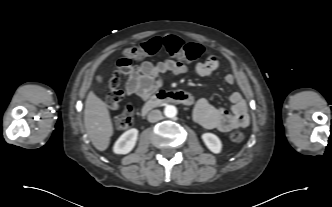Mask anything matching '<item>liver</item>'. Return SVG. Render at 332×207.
I'll return each mask as SVG.
<instances>
[{
  "instance_id": "obj_1",
  "label": "liver",
  "mask_w": 332,
  "mask_h": 207,
  "mask_svg": "<svg viewBox=\"0 0 332 207\" xmlns=\"http://www.w3.org/2000/svg\"><path fill=\"white\" fill-rule=\"evenodd\" d=\"M84 125L93 146L99 151L106 150L113 135L112 121L108 105L93 91L85 102Z\"/></svg>"
}]
</instances>
